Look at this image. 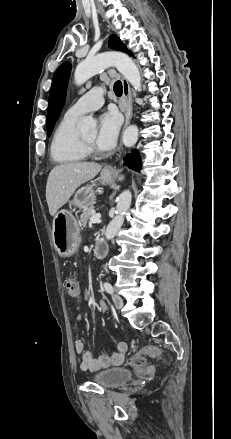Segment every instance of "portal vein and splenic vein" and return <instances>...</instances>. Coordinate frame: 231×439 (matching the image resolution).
Instances as JSON below:
<instances>
[{"instance_id":"obj_1","label":"portal vein and splenic vein","mask_w":231,"mask_h":439,"mask_svg":"<svg viewBox=\"0 0 231 439\" xmlns=\"http://www.w3.org/2000/svg\"><path fill=\"white\" fill-rule=\"evenodd\" d=\"M100 218H101V215H100V214H94V215H92L91 218H90V223H91V224L99 223V222H100Z\"/></svg>"}]
</instances>
